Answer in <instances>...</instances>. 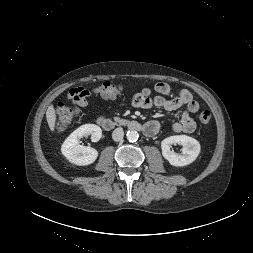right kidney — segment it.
Segmentation results:
<instances>
[{
    "label": "right kidney",
    "instance_id": "1",
    "mask_svg": "<svg viewBox=\"0 0 253 253\" xmlns=\"http://www.w3.org/2000/svg\"><path fill=\"white\" fill-rule=\"evenodd\" d=\"M91 136L93 142L100 140L102 130L95 124H85L73 131L61 146L62 154L73 164L85 166L92 164L98 157L96 149L79 145L83 136Z\"/></svg>",
    "mask_w": 253,
    "mask_h": 253
}]
</instances>
